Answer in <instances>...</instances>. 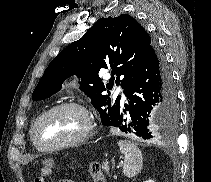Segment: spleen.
Segmentation results:
<instances>
[{"mask_svg":"<svg viewBox=\"0 0 211 182\" xmlns=\"http://www.w3.org/2000/svg\"><path fill=\"white\" fill-rule=\"evenodd\" d=\"M120 152L124 155L123 173L132 178L138 175L143 167V156L141 150L130 141L120 140L118 142Z\"/></svg>","mask_w":211,"mask_h":182,"instance_id":"obj_1","label":"spleen"}]
</instances>
